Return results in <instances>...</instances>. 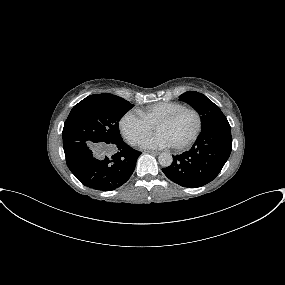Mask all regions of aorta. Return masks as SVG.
<instances>
[{"instance_id": "762f6f07", "label": "aorta", "mask_w": 285, "mask_h": 285, "mask_svg": "<svg viewBox=\"0 0 285 285\" xmlns=\"http://www.w3.org/2000/svg\"><path fill=\"white\" fill-rule=\"evenodd\" d=\"M158 161L161 166L163 167H168L172 164L173 162V157L170 153L168 152H163L159 155Z\"/></svg>"}]
</instances>
